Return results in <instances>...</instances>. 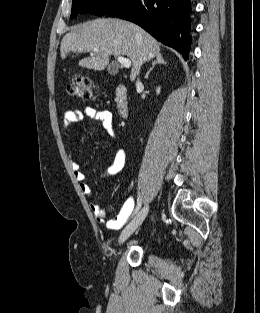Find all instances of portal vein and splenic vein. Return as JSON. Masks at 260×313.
<instances>
[{"instance_id":"obj_1","label":"portal vein and splenic vein","mask_w":260,"mask_h":313,"mask_svg":"<svg viewBox=\"0 0 260 313\" xmlns=\"http://www.w3.org/2000/svg\"><path fill=\"white\" fill-rule=\"evenodd\" d=\"M93 51H97L96 48L93 49ZM118 61L121 63V65L125 68H130L131 67V61L130 59H127L123 56H118L117 57Z\"/></svg>"}]
</instances>
